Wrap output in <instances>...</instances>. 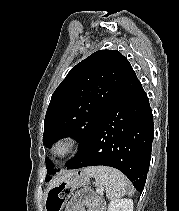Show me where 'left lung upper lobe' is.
I'll return each instance as SVG.
<instances>
[{
    "instance_id": "obj_1",
    "label": "left lung upper lobe",
    "mask_w": 179,
    "mask_h": 211,
    "mask_svg": "<svg viewBox=\"0 0 179 211\" xmlns=\"http://www.w3.org/2000/svg\"><path fill=\"white\" fill-rule=\"evenodd\" d=\"M132 67L116 50H100L73 67L54 91L44 120L43 144L51 148L57 139L74 136L86 148L108 105L128 78ZM51 172L53 165L46 159ZM50 179L46 177V181Z\"/></svg>"
}]
</instances>
